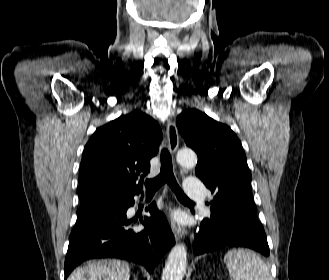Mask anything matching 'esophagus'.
I'll return each instance as SVG.
<instances>
[{"label": "esophagus", "instance_id": "obj_1", "mask_svg": "<svg viewBox=\"0 0 329 280\" xmlns=\"http://www.w3.org/2000/svg\"><path fill=\"white\" fill-rule=\"evenodd\" d=\"M166 133L168 140V148L172 154H175L179 145V136L175 124L170 120L167 123ZM171 229L176 240H179L185 237L186 235V232L173 221H171Z\"/></svg>", "mask_w": 329, "mask_h": 280}]
</instances>
